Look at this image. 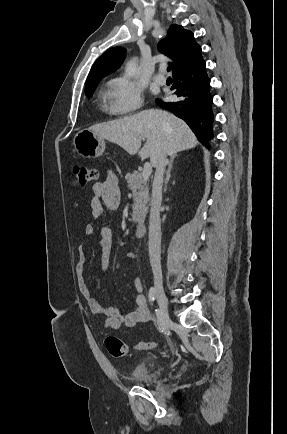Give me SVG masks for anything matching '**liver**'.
<instances>
[{
  "label": "liver",
  "instance_id": "1",
  "mask_svg": "<svg viewBox=\"0 0 287 434\" xmlns=\"http://www.w3.org/2000/svg\"><path fill=\"white\" fill-rule=\"evenodd\" d=\"M127 151L130 155L139 154L142 160L150 157L153 167L162 151L176 156L180 151L192 149L198 141L181 119L160 109H148L135 115L111 122L93 125L89 128ZM146 143L141 147L142 140Z\"/></svg>",
  "mask_w": 287,
  "mask_h": 434
}]
</instances>
